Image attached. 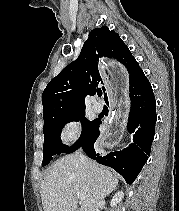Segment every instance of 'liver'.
<instances>
[{"label":"liver","mask_w":179,"mask_h":211,"mask_svg":"<svg viewBox=\"0 0 179 211\" xmlns=\"http://www.w3.org/2000/svg\"><path fill=\"white\" fill-rule=\"evenodd\" d=\"M84 166L79 154L66 155L49 168L40 185L44 211H76L77 193L84 195L80 211H97V207L118 185L109 169L89 161Z\"/></svg>","instance_id":"obj_1"}]
</instances>
